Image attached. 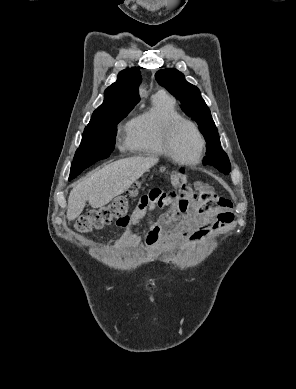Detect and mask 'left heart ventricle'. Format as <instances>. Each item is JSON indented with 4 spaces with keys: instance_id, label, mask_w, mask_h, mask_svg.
Listing matches in <instances>:
<instances>
[{
    "instance_id": "left-heart-ventricle-1",
    "label": "left heart ventricle",
    "mask_w": 296,
    "mask_h": 389,
    "mask_svg": "<svg viewBox=\"0 0 296 389\" xmlns=\"http://www.w3.org/2000/svg\"><path fill=\"white\" fill-rule=\"evenodd\" d=\"M176 155L185 160H194L199 153L200 143L194 130L186 124L180 125L173 137Z\"/></svg>"
}]
</instances>
